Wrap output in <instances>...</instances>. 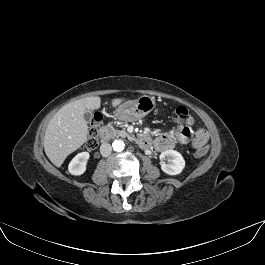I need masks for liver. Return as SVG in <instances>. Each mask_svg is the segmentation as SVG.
Listing matches in <instances>:
<instances>
[{"mask_svg": "<svg viewBox=\"0 0 265 265\" xmlns=\"http://www.w3.org/2000/svg\"><path fill=\"white\" fill-rule=\"evenodd\" d=\"M124 99L112 100L113 107ZM101 106L98 96L87 97L63 106L50 120L44 136V150L49 160L60 167L68 155L80 148L88 136V125L84 119L86 110H96Z\"/></svg>", "mask_w": 265, "mask_h": 265, "instance_id": "1", "label": "liver"}]
</instances>
